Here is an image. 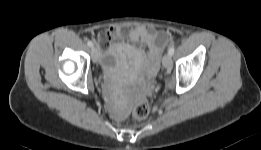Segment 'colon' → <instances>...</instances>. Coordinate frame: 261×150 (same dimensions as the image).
I'll use <instances>...</instances> for the list:
<instances>
[{
  "label": "colon",
  "instance_id": "1",
  "mask_svg": "<svg viewBox=\"0 0 261 150\" xmlns=\"http://www.w3.org/2000/svg\"><path fill=\"white\" fill-rule=\"evenodd\" d=\"M150 113V107L146 100L138 101L132 111V114L137 119H145Z\"/></svg>",
  "mask_w": 261,
  "mask_h": 150
}]
</instances>
